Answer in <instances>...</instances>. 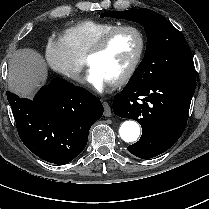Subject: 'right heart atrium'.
<instances>
[{"instance_id": "d8ad5b80", "label": "right heart atrium", "mask_w": 209, "mask_h": 209, "mask_svg": "<svg viewBox=\"0 0 209 209\" xmlns=\"http://www.w3.org/2000/svg\"><path fill=\"white\" fill-rule=\"evenodd\" d=\"M45 58L55 72L75 82H82L83 60L73 52L64 36L49 37Z\"/></svg>"}]
</instances>
